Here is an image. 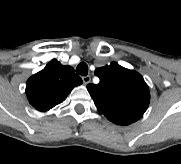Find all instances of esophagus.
<instances>
[{
    "instance_id": "1",
    "label": "esophagus",
    "mask_w": 181,
    "mask_h": 164,
    "mask_svg": "<svg viewBox=\"0 0 181 164\" xmlns=\"http://www.w3.org/2000/svg\"><path fill=\"white\" fill-rule=\"evenodd\" d=\"M82 80H83L84 84H88L91 81V77L89 75L83 76Z\"/></svg>"
}]
</instances>
